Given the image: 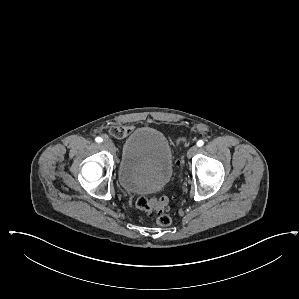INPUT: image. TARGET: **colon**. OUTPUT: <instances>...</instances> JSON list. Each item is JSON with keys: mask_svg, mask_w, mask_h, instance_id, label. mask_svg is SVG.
<instances>
[{"mask_svg": "<svg viewBox=\"0 0 299 299\" xmlns=\"http://www.w3.org/2000/svg\"><path fill=\"white\" fill-rule=\"evenodd\" d=\"M186 144L187 139L183 136H178L176 138V144ZM169 198L165 195H159L153 198L140 197L136 200V207L146 212L149 216L157 215L156 221L160 226H169L172 222L171 217L164 213L169 206Z\"/></svg>", "mask_w": 299, "mask_h": 299, "instance_id": "5ec220e1", "label": "colon"}]
</instances>
